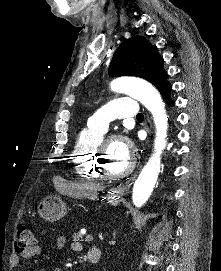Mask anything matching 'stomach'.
I'll return each instance as SVG.
<instances>
[{"label":"stomach","mask_w":221,"mask_h":271,"mask_svg":"<svg viewBox=\"0 0 221 271\" xmlns=\"http://www.w3.org/2000/svg\"><path fill=\"white\" fill-rule=\"evenodd\" d=\"M120 193L117 191H111L110 195H108V203L111 205H118L120 201L119 197ZM41 209H39V213L43 219H48V221H55L58 217H63L64 213H66V205L63 201L62 197H44Z\"/></svg>","instance_id":"1"}]
</instances>
